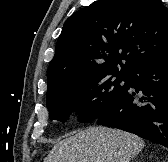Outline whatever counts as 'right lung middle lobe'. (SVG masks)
Masks as SVG:
<instances>
[{
    "label": "right lung middle lobe",
    "mask_w": 168,
    "mask_h": 162,
    "mask_svg": "<svg viewBox=\"0 0 168 162\" xmlns=\"http://www.w3.org/2000/svg\"><path fill=\"white\" fill-rule=\"evenodd\" d=\"M127 79L128 74L111 71L56 83L48 88L46 94L49 118L65 122L70 109L75 107L81 122H91L116 99L124 86L121 82Z\"/></svg>",
    "instance_id": "dd1d6c3e"
}]
</instances>
